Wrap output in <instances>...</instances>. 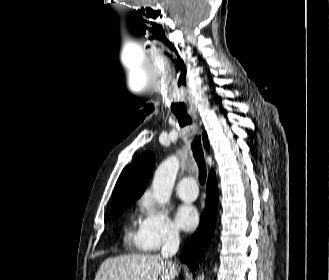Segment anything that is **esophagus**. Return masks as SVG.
Returning a JSON list of instances; mask_svg holds the SVG:
<instances>
[{"instance_id": "obj_1", "label": "esophagus", "mask_w": 329, "mask_h": 280, "mask_svg": "<svg viewBox=\"0 0 329 280\" xmlns=\"http://www.w3.org/2000/svg\"><path fill=\"white\" fill-rule=\"evenodd\" d=\"M191 115H192V117H193L194 119H197V114H196V112H192Z\"/></svg>"}]
</instances>
